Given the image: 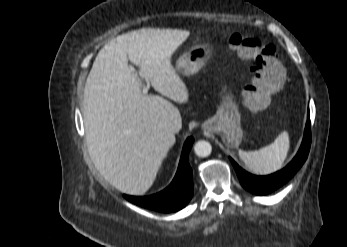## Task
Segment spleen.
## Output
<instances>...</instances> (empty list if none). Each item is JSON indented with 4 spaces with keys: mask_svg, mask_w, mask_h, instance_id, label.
<instances>
[{
    "mask_svg": "<svg viewBox=\"0 0 347 247\" xmlns=\"http://www.w3.org/2000/svg\"><path fill=\"white\" fill-rule=\"evenodd\" d=\"M289 148V133L283 131L272 144L255 151H240L239 156L252 173L267 175L282 167Z\"/></svg>",
    "mask_w": 347,
    "mask_h": 247,
    "instance_id": "1",
    "label": "spleen"
}]
</instances>
